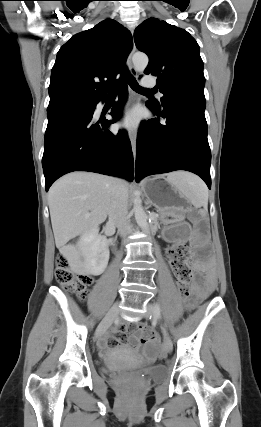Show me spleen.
Instances as JSON below:
<instances>
[{
	"label": "spleen",
	"instance_id": "obj_1",
	"mask_svg": "<svg viewBox=\"0 0 261 427\" xmlns=\"http://www.w3.org/2000/svg\"><path fill=\"white\" fill-rule=\"evenodd\" d=\"M179 173V178L169 177V179L178 185L181 192L196 208H204L200 210V212L201 215L205 217L208 206V189L206 185L202 180L190 173Z\"/></svg>",
	"mask_w": 261,
	"mask_h": 427
}]
</instances>
